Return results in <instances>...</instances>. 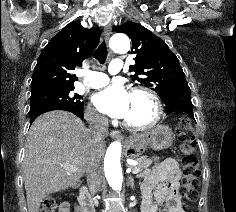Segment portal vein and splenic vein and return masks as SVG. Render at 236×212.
<instances>
[{"label":"portal vein and splenic vein","instance_id":"obj_1","mask_svg":"<svg viewBox=\"0 0 236 212\" xmlns=\"http://www.w3.org/2000/svg\"><path fill=\"white\" fill-rule=\"evenodd\" d=\"M61 167L65 170V171H69V172H77L78 168L74 165H70V164H66V165H61ZM140 172V170L138 168H133L132 169V173L133 174H138Z\"/></svg>","mask_w":236,"mask_h":212}]
</instances>
